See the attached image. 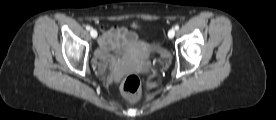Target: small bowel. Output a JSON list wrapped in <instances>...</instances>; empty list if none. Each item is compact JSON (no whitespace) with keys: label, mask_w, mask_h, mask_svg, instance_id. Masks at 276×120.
Wrapping results in <instances>:
<instances>
[{"label":"small bowel","mask_w":276,"mask_h":120,"mask_svg":"<svg viewBox=\"0 0 276 120\" xmlns=\"http://www.w3.org/2000/svg\"><path fill=\"white\" fill-rule=\"evenodd\" d=\"M102 34L99 39L101 46L100 57L98 59V68L104 72L106 69V61L103 53L112 48H121L132 44L136 41V34L126 27H111L106 29L103 25L100 26Z\"/></svg>","instance_id":"c3829d8e"}]
</instances>
